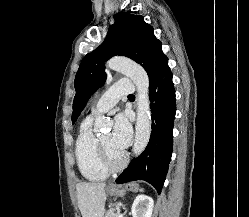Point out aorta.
Here are the masks:
<instances>
[{
    "label": "aorta",
    "instance_id": "1",
    "mask_svg": "<svg viewBox=\"0 0 249 217\" xmlns=\"http://www.w3.org/2000/svg\"><path fill=\"white\" fill-rule=\"evenodd\" d=\"M109 69L128 75L137 88V121L135 126V141L133 153L140 155L148 145L151 135V113L149 101V77L146 71L136 63L123 57H114L107 63ZM109 126L104 117L95 120V128Z\"/></svg>",
    "mask_w": 249,
    "mask_h": 217
}]
</instances>
